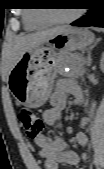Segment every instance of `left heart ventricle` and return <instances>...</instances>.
Instances as JSON below:
<instances>
[{"instance_id":"obj_1","label":"left heart ventricle","mask_w":104,"mask_h":169,"mask_svg":"<svg viewBox=\"0 0 104 169\" xmlns=\"http://www.w3.org/2000/svg\"><path fill=\"white\" fill-rule=\"evenodd\" d=\"M72 9L69 10H57L54 11L53 15L57 18H64V17H68L72 14Z\"/></svg>"}]
</instances>
